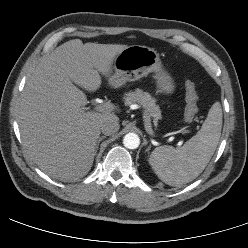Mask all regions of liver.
Returning a JSON list of instances; mask_svg holds the SVG:
<instances>
[{
    "label": "liver",
    "mask_w": 248,
    "mask_h": 248,
    "mask_svg": "<svg viewBox=\"0 0 248 248\" xmlns=\"http://www.w3.org/2000/svg\"><path fill=\"white\" fill-rule=\"evenodd\" d=\"M126 45L73 39L43 58L31 73L18 108V124L28 156L52 178L84 177L91 169L101 123L114 113L86 111L87 97L76 85L96 91L101 76Z\"/></svg>",
    "instance_id": "liver-1"
}]
</instances>
